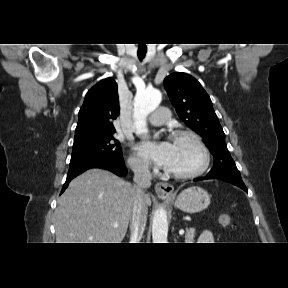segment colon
I'll use <instances>...</instances> for the list:
<instances>
[{"mask_svg":"<svg viewBox=\"0 0 288 288\" xmlns=\"http://www.w3.org/2000/svg\"><path fill=\"white\" fill-rule=\"evenodd\" d=\"M218 222L222 228H229L232 226L231 217L227 213H220L218 216Z\"/></svg>","mask_w":288,"mask_h":288,"instance_id":"colon-1","label":"colon"}]
</instances>
